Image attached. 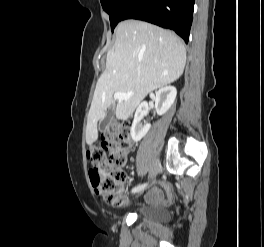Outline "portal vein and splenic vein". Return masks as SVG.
<instances>
[{
    "label": "portal vein and splenic vein",
    "mask_w": 264,
    "mask_h": 247,
    "mask_svg": "<svg viewBox=\"0 0 264 247\" xmlns=\"http://www.w3.org/2000/svg\"><path fill=\"white\" fill-rule=\"evenodd\" d=\"M132 93H122V92H116L114 93V99L115 100H127L132 97Z\"/></svg>",
    "instance_id": "1"
}]
</instances>
